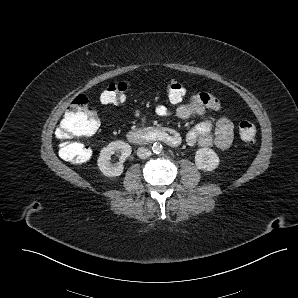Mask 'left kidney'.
Segmentation results:
<instances>
[{"mask_svg":"<svg viewBox=\"0 0 298 298\" xmlns=\"http://www.w3.org/2000/svg\"><path fill=\"white\" fill-rule=\"evenodd\" d=\"M219 157L214 150L210 148H200L195 154V164L198 169L212 171L219 165Z\"/></svg>","mask_w":298,"mask_h":298,"instance_id":"1","label":"left kidney"}]
</instances>
